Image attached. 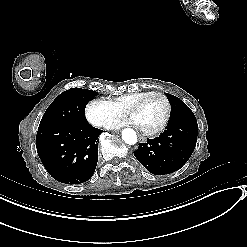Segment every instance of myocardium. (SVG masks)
<instances>
[{
  "instance_id": "f54148a6",
  "label": "myocardium",
  "mask_w": 247,
  "mask_h": 247,
  "mask_svg": "<svg viewBox=\"0 0 247 247\" xmlns=\"http://www.w3.org/2000/svg\"><path fill=\"white\" fill-rule=\"evenodd\" d=\"M151 96H160L161 98H163L164 101H165V104H166V111H165V116L163 118V121L161 122V124L159 126H157L155 128H152V129H145V128H141L140 127L141 131L145 135H154V134L159 133L160 131H162L166 127V125H167V123H168V121H169V119L171 117V112H172L171 101L167 97V95H165L164 93H162L160 91H150V92H148L146 94V96L143 99L137 100V101L134 102L133 107L137 111V115H138L140 107L142 105V101L144 99L148 98V97H151Z\"/></svg>"
}]
</instances>
